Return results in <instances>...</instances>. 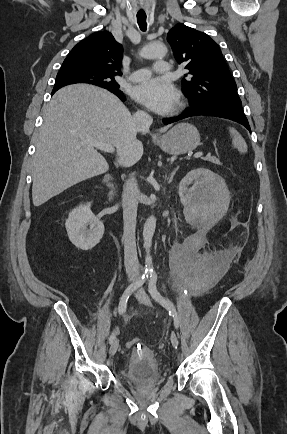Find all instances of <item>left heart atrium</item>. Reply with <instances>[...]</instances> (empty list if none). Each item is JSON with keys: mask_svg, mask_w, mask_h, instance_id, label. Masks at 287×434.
Returning a JSON list of instances; mask_svg holds the SVG:
<instances>
[{"mask_svg": "<svg viewBox=\"0 0 287 434\" xmlns=\"http://www.w3.org/2000/svg\"><path fill=\"white\" fill-rule=\"evenodd\" d=\"M133 98L150 110L164 114L170 112L178 101L176 89L162 79H151L134 87Z\"/></svg>", "mask_w": 287, "mask_h": 434, "instance_id": "obj_1", "label": "left heart atrium"}]
</instances>
